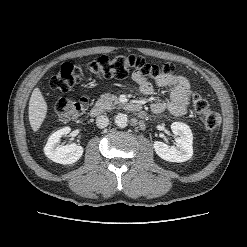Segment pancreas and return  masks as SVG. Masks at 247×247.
Masks as SVG:
<instances>
[{"mask_svg":"<svg viewBox=\"0 0 247 247\" xmlns=\"http://www.w3.org/2000/svg\"><path fill=\"white\" fill-rule=\"evenodd\" d=\"M96 105L102 107L105 110H110L112 108H115L116 105L121 106L122 103L115 95L106 93L100 96V98L96 102Z\"/></svg>","mask_w":247,"mask_h":247,"instance_id":"1","label":"pancreas"}]
</instances>
